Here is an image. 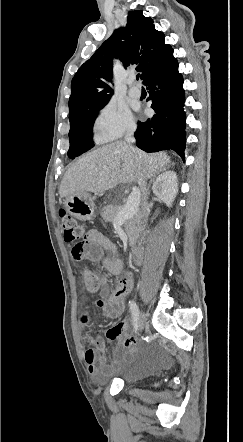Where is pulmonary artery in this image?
Returning a JSON list of instances; mask_svg holds the SVG:
<instances>
[{
	"label": "pulmonary artery",
	"instance_id": "obj_1",
	"mask_svg": "<svg viewBox=\"0 0 243 442\" xmlns=\"http://www.w3.org/2000/svg\"><path fill=\"white\" fill-rule=\"evenodd\" d=\"M130 90L129 95L133 98H139L141 96V90L135 85V79L131 78L129 80Z\"/></svg>",
	"mask_w": 243,
	"mask_h": 442
}]
</instances>
